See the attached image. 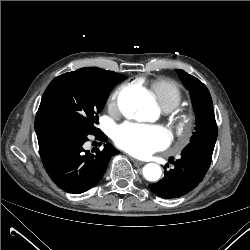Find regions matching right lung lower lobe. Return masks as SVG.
Here are the masks:
<instances>
[{"label": "right lung lower lobe", "mask_w": 250, "mask_h": 250, "mask_svg": "<svg viewBox=\"0 0 250 250\" xmlns=\"http://www.w3.org/2000/svg\"><path fill=\"white\" fill-rule=\"evenodd\" d=\"M43 165L57 186L69 193H83L102 178L112 156L119 153L111 144H104L94 154L83 149L88 135L100 136L79 129L46 128L36 130Z\"/></svg>", "instance_id": "98d812e1"}]
</instances>
